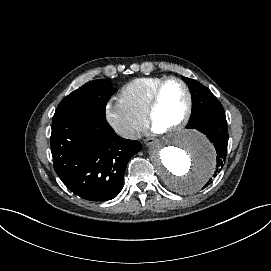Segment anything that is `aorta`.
<instances>
[{
    "label": "aorta",
    "instance_id": "762f6f07",
    "mask_svg": "<svg viewBox=\"0 0 271 271\" xmlns=\"http://www.w3.org/2000/svg\"><path fill=\"white\" fill-rule=\"evenodd\" d=\"M154 170L174 192L192 194L202 189L216 168V152L196 130L173 132L150 149Z\"/></svg>",
    "mask_w": 271,
    "mask_h": 271
}]
</instances>
